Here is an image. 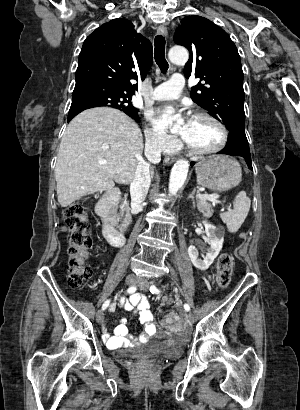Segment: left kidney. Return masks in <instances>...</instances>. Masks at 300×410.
Wrapping results in <instances>:
<instances>
[{
	"label": "left kidney",
	"instance_id": "left-kidney-1",
	"mask_svg": "<svg viewBox=\"0 0 300 410\" xmlns=\"http://www.w3.org/2000/svg\"><path fill=\"white\" fill-rule=\"evenodd\" d=\"M202 223L204 224L207 241L210 247L208 248L206 255L203 256V259L199 258L198 250L193 245L189 246L188 254L193 265L204 271L209 268L214 259L220 253L224 241V231L212 224H209L207 221H203Z\"/></svg>",
	"mask_w": 300,
	"mask_h": 410
}]
</instances>
